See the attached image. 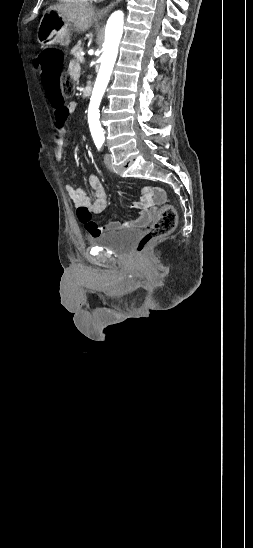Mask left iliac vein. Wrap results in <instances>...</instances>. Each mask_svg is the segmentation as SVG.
I'll list each match as a JSON object with an SVG mask.
<instances>
[{"label":"left iliac vein","mask_w":253,"mask_h":548,"mask_svg":"<svg viewBox=\"0 0 253 548\" xmlns=\"http://www.w3.org/2000/svg\"><path fill=\"white\" fill-rule=\"evenodd\" d=\"M104 162H105V165L106 167L109 169V170H114V165H113V158H112V155L110 153H107L104 157Z\"/></svg>","instance_id":"4c4485c4"}]
</instances>
